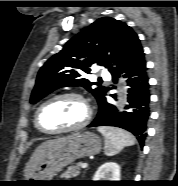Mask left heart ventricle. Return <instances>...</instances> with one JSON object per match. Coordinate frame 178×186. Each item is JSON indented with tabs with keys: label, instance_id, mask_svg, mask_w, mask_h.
<instances>
[{
	"label": "left heart ventricle",
	"instance_id": "1",
	"mask_svg": "<svg viewBox=\"0 0 178 186\" xmlns=\"http://www.w3.org/2000/svg\"><path fill=\"white\" fill-rule=\"evenodd\" d=\"M85 115L84 105L76 98L66 97L48 104L41 113V124L47 130H60L78 124Z\"/></svg>",
	"mask_w": 178,
	"mask_h": 186
}]
</instances>
